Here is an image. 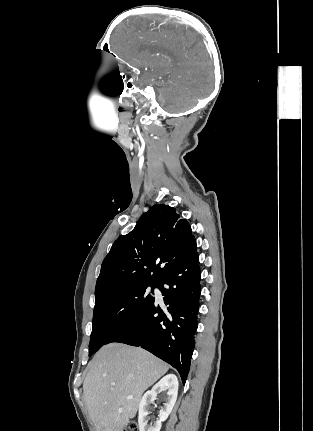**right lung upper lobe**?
<instances>
[{
	"label": "right lung upper lobe",
	"instance_id": "1",
	"mask_svg": "<svg viewBox=\"0 0 313 431\" xmlns=\"http://www.w3.org/2000/svg\"><path fill=\"white\" fill-rule=\"evenodd\" d=\"M194 240L191 226L168 205H154L119 237L103 260L95 301L137 285L158 284Z\"/></svg>",
	"mask_w": 313,
	"mask_h": 431
}]
</instances>
